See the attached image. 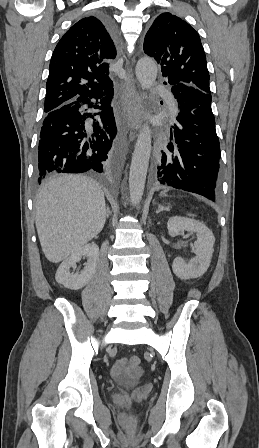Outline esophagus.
Wrapping results in <instances>:
<instances>
[{"mask_svg": "<svg viewBox=\"0 0 259 448\" xmlns=\"http://www.w3.org/2000/svg\"><path fill=\"white\" fill-rule=\"evenodd\" d=\"M126 73L127 78L123 82V86L124 100L127 109V126L131 131L137 132L141 125V104L143 98L137 92L133 70L129 65H126Z\"/></svg>", "mask_w": 259, "mask_h": 448, "instance_id": "34e87169", "label": "esophagus"}]
</instances>
